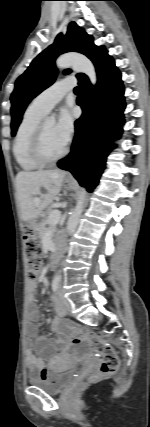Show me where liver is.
<instances>
[{"label":"liver","instance_id":"obj_1","mask_svg":"<svg viewBox=\"0 0 150 427\" xmlns=\"http://www.w3.org/2000/svg\"><path fill=\"white\" fill-rule=\"evenodd\" d=\"M66 173L59 170H45L37 172H19L16 176L18 202L23 221H31L40 216L42 211L53 203L61 190ZM41 188L47 190L41 193ZM40 194V202L34 199Z\"/></svg>","mask_w":150,"mask_h":427}]
</instances>
